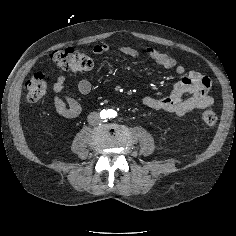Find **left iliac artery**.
Here are the masks:
<instances>
[{
    "label": "left iliac artery",
    "instance_id": "obj_1",
    "mask_svg": "<svg viewBox=\"0 0 236 236\" xmlns=\"http://www.w3.org/2000/svg\"><path fill=\"white\" fill-rule=\"evenodd\" d=\"M109 114H111V115H110V117H114V116H115V112H114V111H112V110H111V111H109Z\"/></svg>",
    "mask_w": 236,
    "mask_h": 236
}]
</instances>
